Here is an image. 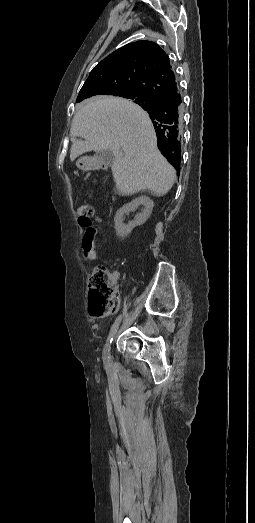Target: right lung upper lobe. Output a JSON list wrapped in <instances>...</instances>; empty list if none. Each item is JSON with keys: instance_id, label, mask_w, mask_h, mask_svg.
<instances>
[{"instance_id": "cb5924a9", "label": "right lung upper lobe", "mask_w": 255, "mask_h": 523, "mask_svg": "<svg viewBox=\"0 0 255 523\" xmlns=\"http://www.w3.org/2000/svg\"><path fill=\"white\" fill-rule=\"evenodd\" d=\"M128 90H139L147 93L154 99L153 107L164 101L178 100L181 103V110L175 113L174 117L178 127L176 136L169 134V128L159 131L157 129L158 123L150 117L156 133L166 132L170 137L169 143L172 141L179 143L177 151L168 153L166 151L167 144L157 141L162 154L176 170H179L181 164L182 100L169 58L156 43L151 41L133 42L108 55L93 68L81 88L76 102L103 99ZM137 104L141 106V102H137ZM151 109H144L149 116ZM164 117L168 119L166 115Z\"/></svg>"}]
</instances>
